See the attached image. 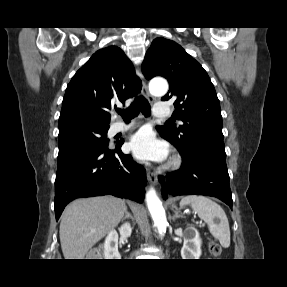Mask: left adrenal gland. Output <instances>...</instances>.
I'll list each match as a JSON object with an SVG mask.
<instances>
[{"mask_svg":"<svg viewBox=\"0 0 287 287\" xmlns=\"http://www.w3.org/2000/svg\"><path fill=\"white\" fill-rule=\"evenodd\" d=\"M176 218H182V216L177 212V210L174 211L172 219L175 220Z\"/></svg>","mask_w":287,"mask_h":287,"instance_id":"a2214340","label":"left adrenal gland"}]
</instances>
